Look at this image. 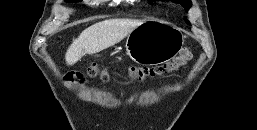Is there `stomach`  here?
Wrapping results in <instances>:
<instances>
[{
    "mask_svg": "<svg viewBox=\"0 0 257 130\" xmlns=\"http://www.w3.org/2000/svg\"><path fill=\"white\" fill-rule=\"evenodd\" d=\"M184 39L174 25L156 19L145 20L128 34L126 52L138 64H162L180 52Z\"/></svg>",
    "mask_w": 257,
    "mask_h": 130,
    "instance_id": "1",
    "label": "stomach"
}]
</instances>
